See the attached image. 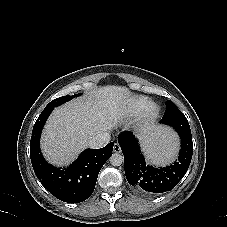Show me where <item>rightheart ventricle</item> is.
<instances>
[{
	"label": "right heart ventricle",
	"mask_w": 227,
	"mask_h": 227,
	"mask_svg": "<svg viewBox=\"0 0 227 227\" xmlns=\"http://www.w3.org/2000/svg\"><path fill=\"white\" fill-rule=\"evenodd\" d=\"M147 106H148L147 98L138 97V98H135L134 100H132V102L130 104V110L133 113H139V112L144 111Z\"/></svg>",
	"instance_id": "obj_1"
}]
</instances>
